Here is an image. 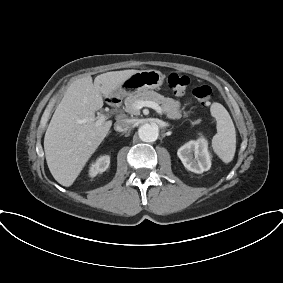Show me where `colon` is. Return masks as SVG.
I'll use <instances>...</instances> for the list:
<instances>
[{
    "mask_svg": "<svg viewBox=\"0 0 283 283\" xmlns=\"http://www.w3.org/2000/svg\"><path fill=\"white\" fill-rule=\"evenodd\" d=\"M168 85L175 94L185 93L190 84V78L186 75L172 73L168 77ZM193 95L204 106H208L213 98V91L208 85H198L193 89Z\"/></svg>",
    "mask_w": 283,
    "mask_h": 283,
    "instance_id": "5ec220e1",
    "label": "colon"
}]
</instances>
